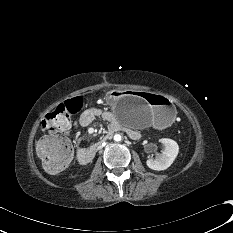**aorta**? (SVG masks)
<instances>
[{"label":"aorta","instance_id":"762f6f07","mask_svg":"<svg viewBox=\"0 0 233 233\" xmlns=\"http://www.w3.org/2000/svg\"><path fill=\"white\" fill-rule=\"evenodd\" d=\"M114 140H115L116 142H120V141L122 140L121 135H120V134H115V135H114Z\"/></svg>","mask_w":233,"mask_h":233}]
</instances>
